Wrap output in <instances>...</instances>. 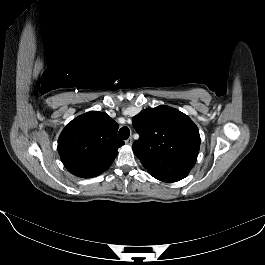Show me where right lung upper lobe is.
<instances>
[{"instance_id": "right-lung-upper-lobe-1", "label": "right lung upper lobe", "mask_w": 265, "mask_h": 265, "mask_svg": "<svg viewBox=\"0 0 265 265\" xmlns=\"http://www.w3.org/2000/svg\"><path fill=\"white\" fill-rule=\"evenodd\" d=\"M118 124L107 114L90 111L82 114L61 132L58 152L73 175L96 177L106 171L124 142L117 138Z\"/></svg>"}]
</instances>
